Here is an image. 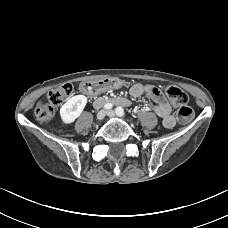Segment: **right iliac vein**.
<instances>
[{
  "mask_svg": "<svg viewBox=\"0 0 228 228\" xmlns=\"http://www.w3.org/2000/svg\"><path fill=\"white\" fill-rule=\"evenodd\" d=\"M106 116V111L105 110H100L98 113H97V120L101 121L104 119V117Z\"/></svg>",
  "mask_w": 228,
  "mask_h": 228,
  "instance_id": "right-iliac-vein-1",
  "label": "right iliac vein"
}]
</instances>
